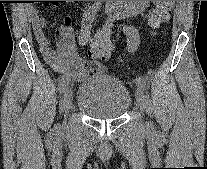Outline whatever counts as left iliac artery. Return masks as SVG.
I'll use <instances>...</instances> for the list:
<instances>
[{"label": "left iliac artery", "mask_w": 207, "mask_h": 169, "mask_svg": "<svg viewBox=\"0 0 207 169\" xmlns=\"http://www.w3.org/2000/svg\"><path fill=\"white\" fill-rule=\"evenodd\" d=\"M128 30L125 31L124 33V39H127V51H130V54H135V51L138 50V47H137V43H139V39L141 38V35L140 34H137V30H132L133 28L132 27H127L126 28ZM128 33V34H127ZM134 83L136 84V86L138 88H142V89H145L146 88V81L144 78L142 77H138L134 80Z\"/></svg>", "instance_id": "1"}]
</instances>
